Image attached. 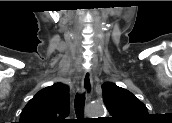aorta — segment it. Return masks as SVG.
<instances>
[{
    "label": "aorta",
    "mask_w": 172,
    "mask_h": 123,
    "mask_svg": "<svg viewBox=\"0 0 172 123\" xmlns=\"http://www.w3.org/2000/svg\"><path fill=\"white\" fill-rule=\"evenodd\" d=\"M104 114L105 109L102 105L97 103H91L88 105L87 115L90 116V118L103 117Z\"/></svg>",
    "instance_id": "obj_1"
}]
</instances>
